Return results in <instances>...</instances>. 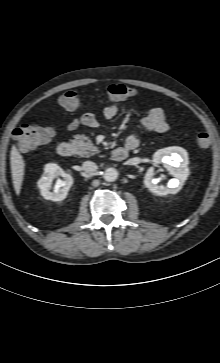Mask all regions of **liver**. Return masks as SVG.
Here are the masks:
<instances>
[{
	"instance_id": "6515ba94",
	"label": "liver",
	"mask_w": 220,
	"mask_h": 363,
	"mask_svg": "<svg viewBox=\"0 0 220 363\" xmlns=\"http://www.w3.org/2000/svg\"><path fill=\"white\" fill-rule=\"evenodd\" d=\"M10 165L13 186L16 194L19 196L25 173V162L15 145L12 146L10 153Z\"/></svg>"
}]
</instances>
